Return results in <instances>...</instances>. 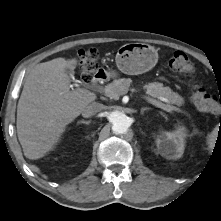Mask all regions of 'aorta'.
Masks as SVG:
<instances>
[{
    "label": "aorta",
    "instance_id": "762f6f07",
    "mask_svg": "<svg viewBox=\"0 0 221 221\" xmlns=\"http://www.w3.org/2000/svg\"><path fill=\"white\" fill-rule=\"evenodd\" d=\"M109 122L112 124V131L115 134H125L130 127V118L119 110H113L109 114Z\"/></svg>",
    "mask_w": 221,
    "mask_h": 221
}]
</instances>
